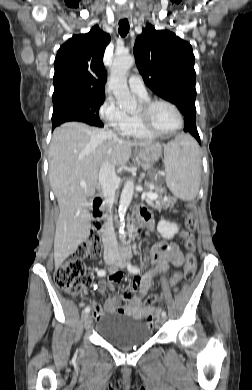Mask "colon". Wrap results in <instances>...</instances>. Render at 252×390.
<instances>
[{
	"instance_id": "colon-1",
	"label": "colon",
	"mask_w": 252,
	"mask_h": 390,
	"mask_svg": "<svg viewBox=\"0 0 252 390\" xmlns=\"http://www.w3.org/2000/svg\"><path fill=\"white\" fill-rule=\"evenodd\" d=\"M196 224L197 218L190 211L185 219L186 231L184 233V245L189 251L184 267V277L187 281H191L194 278L197 268L196 258L192 253L196 248V240L193 234ZM100 253V236L98 233L93 232L76 248L71 258L56 267L54 278L57 286L71 295L80 293L89 284L84 259L98 257ZM158 298L156 295L149 296L146 300V305L153 304ZM147 322L152 325V315L147 317Z\"/></svg>"
}]
</instances>
